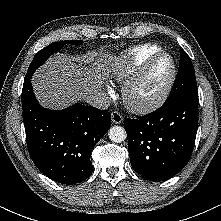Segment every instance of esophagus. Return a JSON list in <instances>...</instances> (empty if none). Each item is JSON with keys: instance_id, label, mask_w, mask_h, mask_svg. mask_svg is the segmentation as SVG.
I'll list each match as a JSON object with an SVG mask.
<instances>
[{"instance_id": "1", "label": "esophagus", "mask_w": 221, "mask_h": 221, "mask_svg": "<svg viewBox=\"0 0 221 221\" xmlns=\"http://www.w3.org/2000/svg\"><path fill=\"white\" fill-rule=\"evenodd\" d=\"M111 119H112V121H113L115 124H120V123L123 122V117H122V115H121L119 112H117V111H113V112L111 113Z\"/></svg>"}]
</instances>
